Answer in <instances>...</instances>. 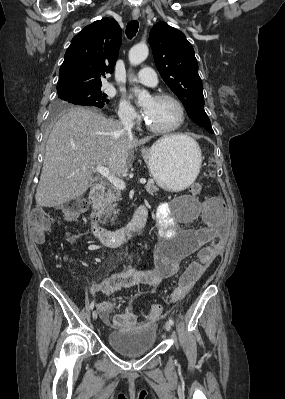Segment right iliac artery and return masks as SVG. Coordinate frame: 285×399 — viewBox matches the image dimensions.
<instances>
[{
  "instance_id": "right-iliac-artery-1",
  "label": "right iliac artery",
  "mask_w": 285,
  "mask_h": 399,
  "mask_svg": "<svg viewBox=\"0 0 285 399\" xmlns=\"http://www.w3.org/2000/svg\"><path fill=\"white\" fill-rule=\"evenodd\" d=\"M94 305H95V300H93V301L91 302V304H90V309H91V310L94 308Z\"/></svg>"
}]
</instances>
